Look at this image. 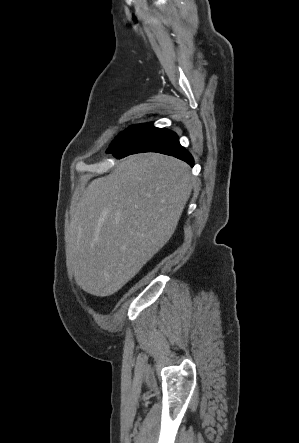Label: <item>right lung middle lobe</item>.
I'll list each match as a JSON object with an SVG mask.
<instances>
[{"label":"right lung middle lobe","mask_w":299,"mask_h":443,"mask_svg":"<svg viewBox=\"0 0 299 443\" xmlns=\"http://www.w3.org/2000/svg\"><path fill=\"white\" fill-rule=\"evenodd\" d=\"M123 132H124V131H123ZM123 132H122V133H123ZM122 133H121V134H122ZM121 134H120V135H121ZM120 135H119V136H120ZM117 138H118V137H117ZM117 138H116V139H117ZM116 139L112 142V144L116 141ZM112 144H111V145H112Z\"/></svg>","instance_id":"dd1d6c3e"}]
</instances>
